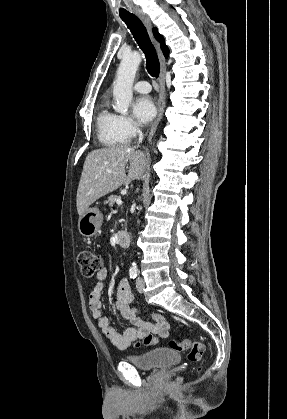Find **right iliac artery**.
Listing matches in <instances>:
<instances>
[{
	"label": "right iliac artery",
	"instance_id": "right-iliac-artery-1",
	"mask_svg": "<svg viewBox=\"0 0 287 419\" xmlns=\"http://www.w3.org/2000/svg\"><path fill=\"white\" fill-rule=\"evenodd\" d=\"M129 275H130V278L131 279H135L137 277V275H138V271L136 269H131L129 271Z\"/></svg>",
	"mask_w": 287,
	"mask_h": 419
}]
</instances>
